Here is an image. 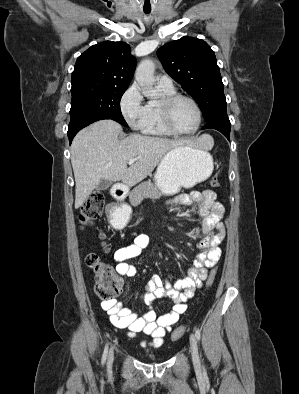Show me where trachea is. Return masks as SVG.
Here are the masks:
<instances>
[{"label":"trachea","instance_id":"trachea-1","mask_svg":"<svg viewBox=\"0 0 299 394\" xmlns=\"http://www.w3.org/2000/svg\"><path fill=\"white\" fill-rule=\"evenodd\" d=\"M150 12H151L150 10L144 11L145 14H149Z\"/></svg>","mask_w":299,"mask_h":394}]
</instances>
